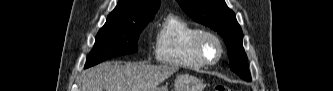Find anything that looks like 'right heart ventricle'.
Listing matches in <instances>:
<instances>
[{"label": "right heart ventricle", "mask_w": 333, "mask_h": 91, "mask_svg": "<svg viewBox=\"0 0 333 91\" xmlns=\"http://www.w3.org/2000/svg\"><path fill=\"white\" fill-rule=\"evenodd\" d=\"M200 32L199 28L185 19L168 15L156 32L154 49L156 60L177 68H203L204 65L194 53V40Z\"/></svg>", "instance_id": "obj_1"}]
</instances>
